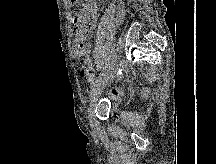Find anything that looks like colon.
Returning <instances> with one entry per match:
<instances>
[{"instance_id":"1","label":"colon","mask_w":216,"mask_h":164,"mask_svg":"<svg viewBox=\"0 0 216 164\" xmlns=\"http://www.w3.org/2000/svg\"><path fill=\"white\" fill-rule=\"evenodd\" d=\"M81 76L85 78L92 86L95 80V69L93 67L86 66L81 70ZM120 95L121 91L119 89H112V91L110 92L111 98H117Z\"/></svg>"}]
</instances>
